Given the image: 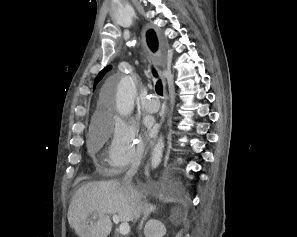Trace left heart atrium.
Listing matches in <instances>:
<instances>
[{"mask_svg":"<svg viewBox=\"0 0 297 237\" xmlns=\"http://www.w3.org/2000/svg\"><path fill=\"white\" fill-rule=\"evenodd\" d=\"M145 123H146V126L148 127V129H151V126L153 124L152 120L151 119H147Z\"/></svg>","mask_w":297,"mask_h":237,"instance_id":"1","label":"left heart atrium"}]
</instances>
